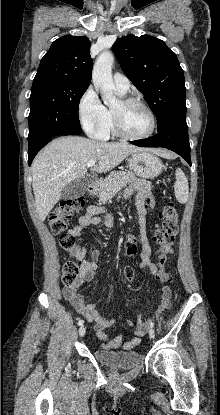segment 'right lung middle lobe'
I'll list each match as a JSON object with an SVG mask.
<instances>
[{"mask_svg": "<svg viewBox=\"0 0 220 415\" xmlns=\"http://www.w3.org/2000/svg\"><path fill=\"white\" fill-rule=\"evenodd\" d=\"M88 86L40 81L30 95L28 151L57 135H73L81 129L78 107Z\"/></svg>", "mask_w": 220, "mask_h": 415, "instance_id": "1", "label": "right lung middle lobe"}]
</instances>
